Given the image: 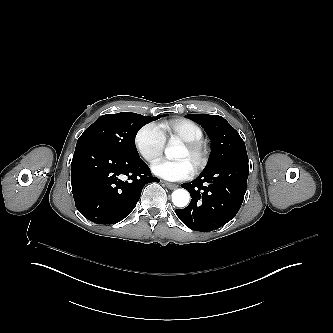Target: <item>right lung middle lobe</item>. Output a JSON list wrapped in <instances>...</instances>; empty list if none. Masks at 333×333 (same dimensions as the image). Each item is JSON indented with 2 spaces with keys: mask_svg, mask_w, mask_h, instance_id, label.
I'll list each match as a JSON object with an SVG mask.
<instances>
[{
  "mask_svg": "<svg viewBox=\"0 0 333 333\" xmlns=\"http://www.w3.org/2000/svg\"><path fill=\"white\" fill-rule=\"evenodd\" d=\"M159 118L160 115L147 117L130 112L102 115L83 132L77 144L96 142L118 155L138 158L135 146L137 132L145 124Z\"/></svg>",
  "mask_w": 333,
  "mask_h": 333,
  "instance_id": "obj_1",
  "label": "right lung middle lobe"
}]
</instances>
